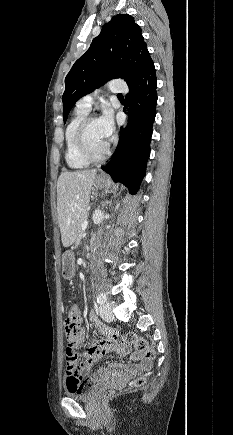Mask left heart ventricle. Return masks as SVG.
<instances>
[{
  "mask_svg": "<svg viewBox=\"0 0 233 435\" xmlns=\"http://www.w3.org/2000/svg\"><path fill=\"white\" fill-rule=\"evenodd\" d=\"M86 138L88 146L94 154L103 153L109 142V138L105 136L101 124L98 120L93 121L89 125L86 133Z\"/></svg>",
  "mask_w": 233,
  "mask_h": 435,
  "instance_id": "1",
  "label": "left heart ventricle"
}]
</instances>
